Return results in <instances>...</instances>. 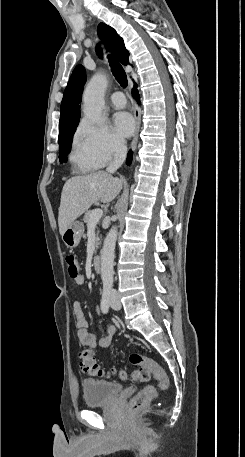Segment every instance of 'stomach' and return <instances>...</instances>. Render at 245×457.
I'll return each instance as SVG.
<instances>
[{"label": "stomach", "mask_w": 245, "mask_h": 457, "mask_svg": "<svg viewBox=\"0 0 245 457\" xmlns=\"http://www.w3.org/2000/svg\"><path fill=\"white\" fill-rule=\"evenodd\" d=\"M83 233V222H79V220H73V222L69 224L68 229L64 231L62 235V241L65 243L68 249H74V247H78Z\"/></svg>", "instance_id": "stomach-1"}]
</instances>
